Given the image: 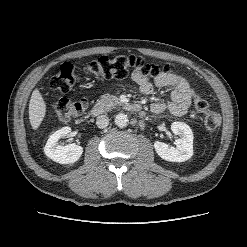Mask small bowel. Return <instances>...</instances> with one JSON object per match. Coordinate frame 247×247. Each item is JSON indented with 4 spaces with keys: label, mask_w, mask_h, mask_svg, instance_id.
Segmentation results:
<instances>
[{
    "label": "small bowel",
    "mask_w": 247,
    "mask_h": 247,
    "mask_svg": "<svg viewBox=\"0 0 247 247\" xmlns=\"http://www.w3.org/2000/svg\"><path fill=\"white\" fill-rule=\"evenodd\" d=\"M132 79L138 84L141 93L150 95L154 92L153 84L149 81V78L143 76L140 72L134 71ZM154 85L168 87L171 89V93L168 101H158L151 105L150 108L153 113L159 114L167 110L176 116H181L187 112L193 90L184 76L177 73L164 72L154 79Z\"/></svg>",
    "instance_id": "c3829d8e"
}]
</instances>
